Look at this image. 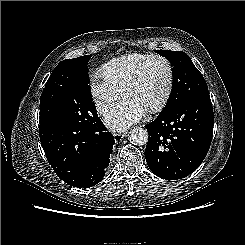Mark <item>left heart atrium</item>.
Masks as SVG:
<instances>
[{
    "label": "left heart atrium",
    "instance_id": "39dd6f15",
    "mask_svg": "<svg viewBox=\"0 0 245 245\" xmlns=\"http://www.w3.org/2000/svg\"><path fill=\"white\" fill-rule=\"evenodd\" d=\"M147 110L140 103L130 97L110 108L105 114V123L113 130H125L138 122Z\"/></svg>",
    "mask_w": 245,
    "mask_h": 245
}]
</instances>
